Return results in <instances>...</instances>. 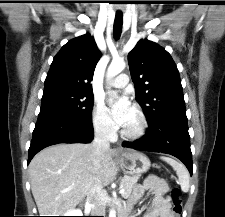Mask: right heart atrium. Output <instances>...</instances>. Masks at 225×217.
I'll return each instance as SVG.
<instances>
[{"label": "right heart atrium", "mask_w": 225, "mask_h": 217, "mask_svg": "<svg viewBox=\"0 0 225 217\" xmlns=\"http://www.w3.org/2000/svg\"><path fill=\"white\" fill-rule=\"evenodd\" d=\"M92 124L95 131L105 137L113 135L114 123L101 102H96L92 110Z\"/></svg>", "instance_id": "right-heart-atrium-1"}]
</instances>
